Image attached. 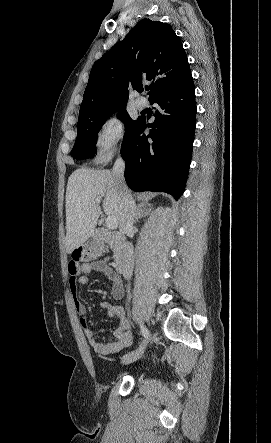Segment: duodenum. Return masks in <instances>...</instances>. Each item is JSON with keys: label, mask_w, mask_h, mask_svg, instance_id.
<instances>
[{"label": "duodenum", "mask_w": 271, "mask_h": 443, "mask_svg": "<svg viewBox=\"0 0 271 443\" xmlns=\"http://www.w3.org/2000/svg\"><path fill=\"white\" fill-rule=\"evenodd\" d=\"M93 235L97 240L106 241L115 247L114 268L118 273L124 274L131 270L134 262V249L121 233L96 228Z\"/></svg>", "instance_id": "1"}]
</instances>
